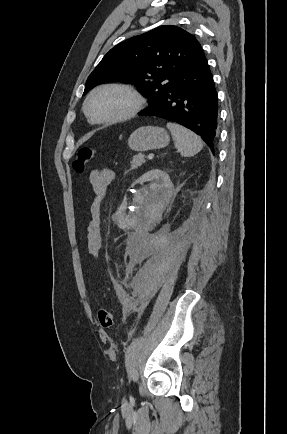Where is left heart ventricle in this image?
I'll use <instances>...</instances> for the list:
<instances>
[{
    "label": "left heart ventricle",
    "instance_id": "1",
    "mask_svg": "<svg viewBox=\"0 0 287 434\" xmlns=\"http://www.w3.org/2000/svg\"><path fill=\"white\" fill-rule=\"evenodd\" d=\"M132 104L131 97L119 89H105L90 101L89 111L94 118H112L125 113Z\"/></svg>",
    "mask_w": 287,
    "mask_h": 434
}]
</instances>
